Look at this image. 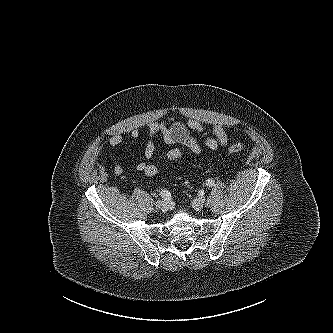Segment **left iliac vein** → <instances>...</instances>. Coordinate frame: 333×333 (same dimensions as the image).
Returning a JSON list of instances; mask_svg holds the SVG:
<instances>
[{"label": "left iliac vein", "mask_w": 333, "mask_h": 333, "mask_svg": "<svg viewBox=\"0 0 333 333\" xmlns=\"http://www.w3.org/2000/svg\"><path fill=\"white\" fill-rule=\"evenodd\" d=\"M204 205H205L204 197H197L192 202V206L197 210H201L204 207Z\"/></svg>", "instance_id": "obj_1"}]
</instances>
